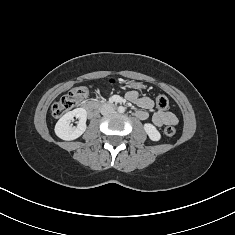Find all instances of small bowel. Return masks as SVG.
<instances>
[{"instance_id":"small-bowel-1","label":"small bowel","mask_w":235,"mask_h":235,"mask_svg":"<svg viewBox=\"0 0 235 235\" xmlns=\"http://www.w3.org/2000/svg\"><path fill=\"white\" fill-rule=\"evenodd\" d=\"M127 99L140 107L136 112V116L145 120L149 117V110L153 107V100L148 96H139L136 91H131L127 94ZM153 123L162 127L164 125H175L178 122L176 115L172 112L157 111L152 116Z\"/></svg>"}]
</instances>
